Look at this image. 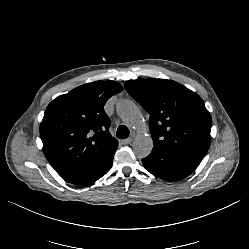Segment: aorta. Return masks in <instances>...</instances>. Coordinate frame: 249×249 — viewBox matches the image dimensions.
Masks as SVG:
<instances>
[{
    "label": "aorta",
    "instance_id": "obj_1",
    "mask_svg": "<svg viewBox=\"0 0 249 249\" xmlns=\"http://www.w3.org/2000/svg\"><path fill=\"white\" fill-rule=\"evenodd\" d=\"M116 110L122 121L137 132L132 145L134 154L138 158L147 157L153 149V140L145 133L147 127L139 108L131 100L123 99L117 103Z\"/></svg>",
    "mask_w": 249,
    "mask_h": 249
}]
</instances>
